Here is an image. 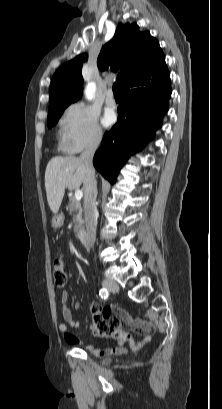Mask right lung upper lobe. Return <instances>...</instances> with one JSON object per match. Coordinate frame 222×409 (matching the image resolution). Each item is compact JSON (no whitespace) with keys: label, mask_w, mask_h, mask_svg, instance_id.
I'll return each mask as SVG.
<instances>
[{"label":"right lung upper lobe","mask_w":222,"mask_h":409,"mask_svg":"<svg viewBox=\"0 0 222 409\" xmlns=\"http://www.w3.org/2000/svg\"><path fill=\"white\" fill-rule=\"evenodd\" d=\"M86 53L63 64L54 74L49 90V111L69 106L82 96V63ZM99 69L108 66L119 72L117 81L121 93L136 79L158 74L167 68L158 41L148 31L141 32L136 23H119L114 37L98 56Z\"/></svg>","instance_id":"cb5924a9"}]
</instances>
